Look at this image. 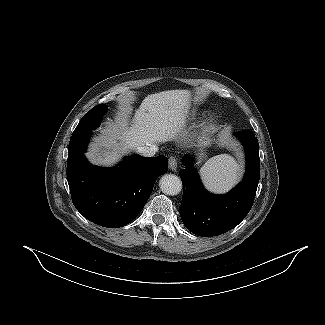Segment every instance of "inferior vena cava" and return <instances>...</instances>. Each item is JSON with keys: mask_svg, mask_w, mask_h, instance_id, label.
I'll use <instances>...</instances> for the list:
<instances>
[{"mask_svg": "<svg viewBox=\"0 0 325 325\" xmlns=\"http://www.w3.org/2000/svg\"><path fill=\"white\" fill-rule=\"evenodd\" d=\"M137 151L141 153L144 157H153L158 151L156 145L138 147Z\"/></svg>", "mask_w": 325, "mask_h": 325, "instance_id": "obj_1", "label": "inferior vena cava"}]
</instances>
